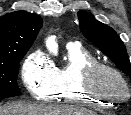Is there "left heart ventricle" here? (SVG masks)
Returning <instances> with one entry per match:
<instances>
[{
  "mask_svg": "<svg viewBox=\"0 0 131 115\" xmlns=\"http://www.w3.org/2000/svg\"><path fill=\"white\" fill-rule=\"evenodd\" d=\"M95 85L99 90L108 94L121 95L124 90L118 78L108 72L98 74Z\"/></svg>",
  "mask_w": 131,
  "mask_h": 115,
  "instance_id": "1",
  "label": "left heart ventricle"
}]
</instances>
